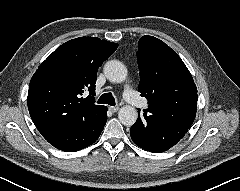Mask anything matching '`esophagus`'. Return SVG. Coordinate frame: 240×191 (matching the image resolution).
I'll use <instances>...</instances> for the list:
<instances>
[{
    "instance_id": "1",
    "label": "esophagus",
    "mask_w": 240,
    "mask_h": 191,
    "mask_svg": "<svg viewBox=\"0 0 240 191\" xmlns=\"http://www.w3.org/2000/svg\"><path fill=\"white\" fill-rule=\"evenodd\" d=\"M109 109H110L111 112L115 113L119 110V107L110 106Z\"/></svg>"
}]
</instances>
